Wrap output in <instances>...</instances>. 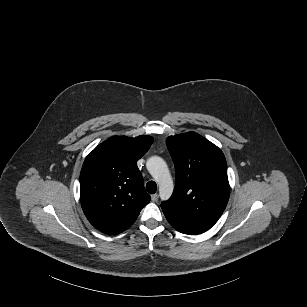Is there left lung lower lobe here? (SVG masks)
<instances>
[{
  "mask_svg": "<svg viewBox=\"0 0 307 307\" xmlns=\"http://www.w3.org/2000/svg\"><path fill=\"white\" fill-rule=\"evenodd\" d=\"M164 214H165V216H166L168 222H169L177 231H179V232H181V233H184V234H190V235H196V234H199V233H200V232H198V231H194V230H191V229H188V228L182 226L180 223H177V222L173 221V220L171 219V217H170L168 214H166V213H164Z\"/></svg>",
  "mask_w": 307,
  "mask_h": 307,
  "instance_id": "1",
  "label": "left lung lower lobe"
}]
</instances>
